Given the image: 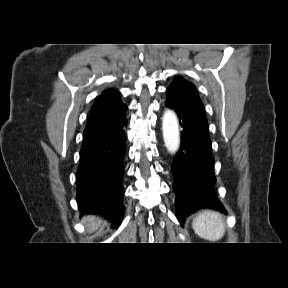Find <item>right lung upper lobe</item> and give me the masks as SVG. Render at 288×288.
Returning <instances> with one entry per match:
<instances>
[{
  "instance_id": "cb5924a9",
  "label": "right lung upper lobe",
  "mask_w": 288,
  "mask_h": 288,
  "mask_svg": "<svg viewBox=\"0 0 288 288\" xmlns=\"http://www.w3.org/2000/svg\"><path fill=\"white\" fill-rule=\"evenodd\" d=\"M115 89L104 91L94 102L83 135L82 147H90L114 137L127 122V109Z\"/></svg>"
}]
</instances>
